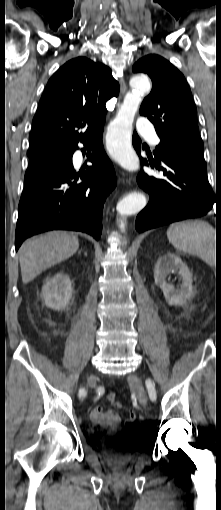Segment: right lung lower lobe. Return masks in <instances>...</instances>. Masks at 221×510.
Segmentation results:
<instances>
[{"label":"right lung lower lobe","instance_id":"obj_1","mask_svg":"<svg viewBox=\"0 0 221 510\" xmlns=\"http://www.w3.org/2000/svg\"><path fill=\"white\" fill-rule=\"evenodd\" d=\"M103 125L81 142L93 150L92 166L76 172L72 156L77 143L60 162L28 168L18 207L15 248L35 234L62 229L86 232L96 240L102 232L103 204L117 180L102 144Z\"/></svg>","mask_w":221,"mask_h":510}]
</instances>
